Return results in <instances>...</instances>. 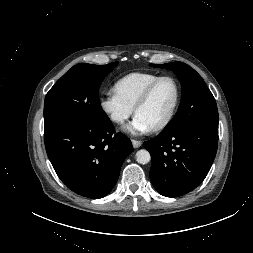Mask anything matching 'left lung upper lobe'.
<instances>
[{"mask_svg": "<svg viewBox=\"0 0 253 253\" xmlns=\"http://www.w3.org/2000/svg\"><path fill=\"white\" fill-rule=\"evenodd\" d=\"M151 66L173 71L182 87L179 109L161 134H171L192 126L218 128L216 101L203 78L193 68L182 62L151 64Z\"/></svg>", "mask_w": 253, "mask_h": 253, "instance_id": "obj_1", "label": "left lung upper lobe"}]
</instances>
